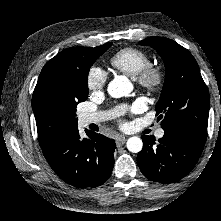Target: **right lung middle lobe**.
Here are the masks:
<instances>
[{"mask_svg": "<svg viewBox=\"0 0 221 221\" xmlns=\"http://www.w3.org/2000/svg\"><path fill=\"white\" fill-rule=\"evenodd\" d=\"M111 45L112 43L108 42L90 49L85 57L70 69L67 86L60 92V97L72 111L76 112L77 104L88 97L87 77L90 67Z\"/></svg>", "mask_w": 221, "mask_h": 221, "instance_id": "right-lung-middle-lobe-1", "label": "right lung middle lobe"}]
</instances>
